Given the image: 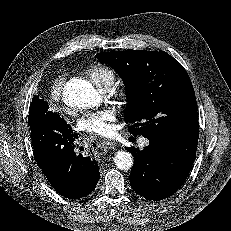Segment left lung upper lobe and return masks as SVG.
I'll return each instance as SVG.
<instances>
[{
    "label": "left lung upper lobe",
    "mask_w": 231,
    "mask_h": 231,
    "mask_svg": "<svg viewBox=\"0 0 231 231\" xmlns=\"http://www.w3.org/2000/svg\"><path fill=\"white\" fill-rule=\"evenodd\" d=\"M96 57L126 86L128 130L146 138L175 141L198 136L197 102L184 67L164 51H111ZM134 127H139L134 128Z\"/></svg>",
    "instance_id": "5c2ea615"
}]
</instances>
